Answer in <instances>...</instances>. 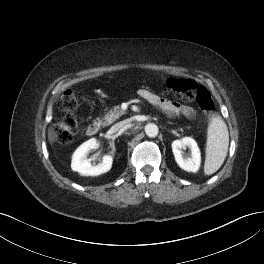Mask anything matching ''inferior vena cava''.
<instances>
[{
  "mask_svg": "<svg viewBox=\"0 0 264 264\" xmlns=\"http://www.w3.org/2000/svg\"><path fill=\"white\" fill-rule=\"evenodd\" d=\"M125 124H126L125 122L117 123V124H115V125H113V126L111 127V130H112L113 132H116V131L122 129L123 126H124Z\"/></svg>",
  "mask_w": 264,
  "mask_h": 264,
  "instance_id": "obj_1",
  "label": "inferior vena cava"
}]
</instances>
